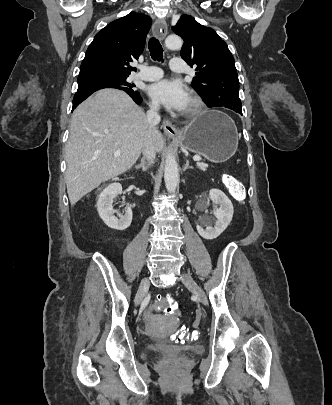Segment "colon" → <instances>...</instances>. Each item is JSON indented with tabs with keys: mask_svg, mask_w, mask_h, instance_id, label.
<instances>
[{
	"mask_svg": "<svg viewBox=\"0 0 332 405\" xmlns=\"http://www.w3.org/2000/svg\"><path fill=\"white\" fill-rule=\"evenodd\" d=\"M223 184L228 189L234 199L242 201L245 197V188L243 184L231 175H224ZM154 306L162 312L163 319H170L172 321L181 319L185 314V309L181 307L180 302L174 299L171 294L156 295L153 299ZM176 333L170 334L171 342H185L196 338V334L200 332L198 325H178L173 323Z\"/></svg>",
	"mask_w": 332,
	"mask_h": 405,
	"instance_id": "obj_1",
	"label": "colon"
}]
</instances>
